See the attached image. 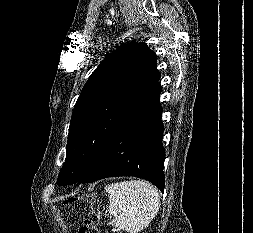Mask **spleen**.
I'll return each mask as SVG.
<instances>
[{
    "mask_svg": "<svg viewBox=\"0 0 253 233\" xmlns=\"http://www.w3.org/2000/svg\"><path fill=\"white\" fill-rule=\"evenodd\" d=\"M109 195L108 211L114 218L108 224L129 233L147 228L160 208L158 190L141 180L123 181L105 186Z\"/></svg>",
    "mask_w": 253,
    "mask_h": 233,
    "instance_id": "obj_1",
    "label": "spleen"
}]
</instances>
